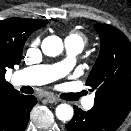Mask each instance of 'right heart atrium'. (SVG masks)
I'll list each match as a JSON object with an SVG mask.
<instances>
[{
  "label": "right heart atrium",
  "mask_w": 131,
  "mask_h": 131,
  "mask_svg": "<svg viewBox=\"0 0 131 131\" xmlns=\"http://www.w3.org/2000/svg\"><path fill=\"white\" fill-rule=\"evenodd\" d=\"M40 43V37H36L34 38L31 43H30V47L31 48H36Z\"/></svg>",
  "instance_id": "d8ad5b80"
}]
</instances>
